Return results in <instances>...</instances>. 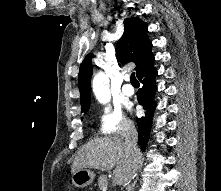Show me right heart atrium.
<instances>
[{"instance_id":"d8ad5b80","label":"right heart atrium","mask_w":221,"mask_h":191,"mask_svg":"<svg viewBox=\"0 0 221 191\" xmlns=\"http://www.w3.org/2000/svg\"><path fill=\"white\" fill-rule=\"evenodd\" d=\"M97 133L108 136H123L132 131V123L119 107L103 108L96 121Z\"/></svg>"}]
</instances>
